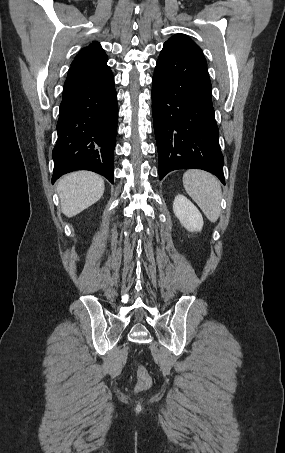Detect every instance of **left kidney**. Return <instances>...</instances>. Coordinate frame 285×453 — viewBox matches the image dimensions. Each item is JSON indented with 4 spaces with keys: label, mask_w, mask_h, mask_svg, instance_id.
<instances>
[{
    "label": "left kidney",
    "mask_w": 285,
    "mask_h": 453,
    "mask_svg": "<svg viewBox=\"0 0 285 453\" xmlns=\"http://www.w3.org/2000/svg\"><path fill=\"white\" fill-rule=\"evenodd\" d=\"M173 211L180 223L189 232H200L203 218L196 206L184 195L178 194L173 202Z\"/></svg>",
    "instance_id": "1"
}]
</instances>
